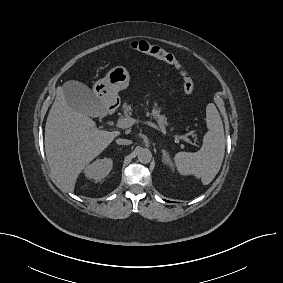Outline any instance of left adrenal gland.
<instances>
[{"label": "left adrenal gland", "mask_w": 283, "mask_h": 283, "mask_svg": "<svg viewBox=\"0 0 283 283\" xmlns=\"http://www.w3.org/2000/svg\"><path fill=\"white\" fill-rule=\"evenodd\" d=\"M162 154H163V159H162L163 163L168 165L170 168H172L173 163L169 157L168 152L165 149H162Z\"/></svg>", "instance_id": "left-adrenal-gland-1"}]
</instances>
